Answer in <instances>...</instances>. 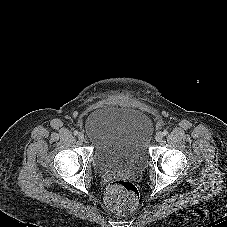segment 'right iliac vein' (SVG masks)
Here are the masks:
<instances>
[{"mask_svg":"<svg viewBox=\"0 0 227 227\" xmlns=\"http://www.w3.org/2000/svg\"><path fill=\"white\" fill-rule=\"evenodd\" d=\"M78 138H79L80 141H84L85 136H84L83 133H79V134H78Z\"/></svg>","mask_w":227,"mask_h":227,"instance_id":"63e3f726","label":"right iliac vein"}]
</instances>
